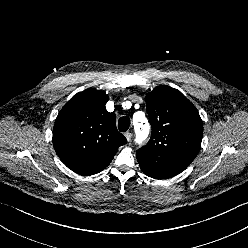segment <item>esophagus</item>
Masks as SVG:
<instances>
[{"label": "esophagus", "mask_w": 248, "mask_h": 248, "mask_svg": "<svg viewBox=\"0 0 248 248\" xmlns=\"http://www.w3.org/2000/svg\"><path fill=\"white\" fill-rule=\"evenodd\" d=\"M124 136L127 139V141H130L132 139V134L130 132H125Z\"/></svg>", "instance_id": "34e87169"}]
</instances>
